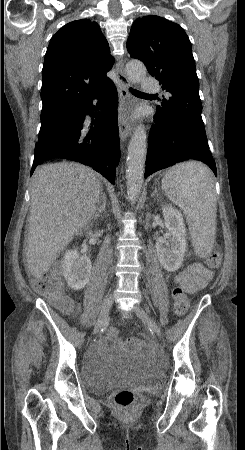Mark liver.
I'll use <instances>...</instances> for the list:
<instances>
[{
  "label": "liver",
  "mask_w": 245,
  "mask_h": 450,
  "mask_svg": "<svg viewBox=\"0 0 245 450\" xmlns=\"http://www.w3.org/2000/svg\"><path fill=\"white\" fill-rule=\"evenodd\" d=\"M101 192L93 170L79 163L46 164L35 170L25 249L34 277L41 278L74 236L91 223Z\"/></svg>",
  "instance_id": "1"
}]
</instances>
